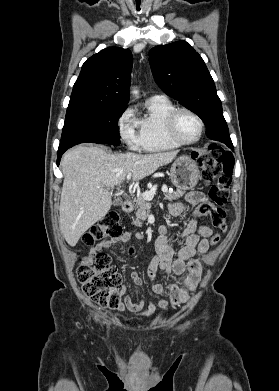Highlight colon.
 Returning a JSON list of instances; mask_svg holds the SVG:
<instances>
[{"mask_svg":"<svg viewBox=\"0 0 279 391\" xmlns=\"http://www.w3.org/2000/svg\"><path fill=\"white\" fill-rule=\"evenodd\" d=\"M193 157L201 168L203 180L213 183L209 196L214 204L199 205L197 214L209 216L213 226L223 232L227 228L224 206L229 199L233 156L219 145L210 144L205 151L194 152ZM121 235L120 215L117 211H109L83 236V242L86 245H94L97 241L112 243ZM219 241V235L211 237L212 245ZM128 251L133 252L134 248L130 247ZM77 279L83 293L95 304L108 308L119 307L121 277L107 254H98L90 263L83 260L77 269Z\"/></svg>","mask_w":279,"mask_h":391,"instance_id":"obj_1","label":"colon"}]
</instances>
